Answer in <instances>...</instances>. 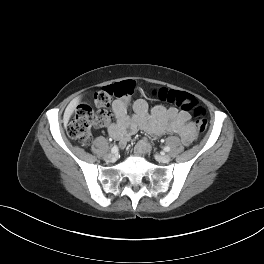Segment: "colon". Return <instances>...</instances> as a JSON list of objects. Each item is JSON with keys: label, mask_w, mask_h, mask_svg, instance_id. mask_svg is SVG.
<instances>
[{"label": "colon", "mask_w": 264, "mask_h": 264, "mask_svg": "<svg viewBox=\"0 0 264 264\" xmlns=\"http://www.w3.org/2000/svg\"><path fill=\"white\" fill-rule=\"evenodd\" d=\"M134 87V83L130 80L105 87L95 95L96 112H94L89 104L83 103L79 105L75 115L68 123V135L83 145L89 144L93 129L105 126L110 122L111 112L109 105L112 98L126 99L134 93ZM155 93L161 101L183 111H191L197 130L200 133L206 130L207 119L205 117V109L193 95L168 88H160Z\"/></svg>", "instance_id": "5ec220e1"}]
</instances>
